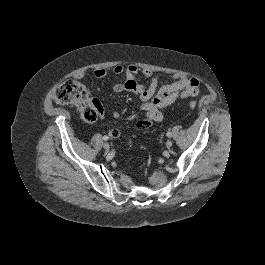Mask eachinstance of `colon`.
Returning a JSON list of instances; mask_svg holds the SVG:
<instances>
[{
	"label": "colon",
	"instance_id": "5ec220e1",
	"mask_svg": "<svg viewBox=\"0 0 265 265\" xmlns=\"http://www.w3.org/2000/svg\"><path fill=\"white\" fill-rule=\"evenodd\" d=\"M54 100L62 105H73L79 110L81 117L87 122H94L102 113L100 104L90 99L85 87L73 80L59 85L53 92ZM189 107L194 109L196 102H189Z\"/></svg>",
	"mask_w": 265,
	"mask_h": 265
}]
</instances>
